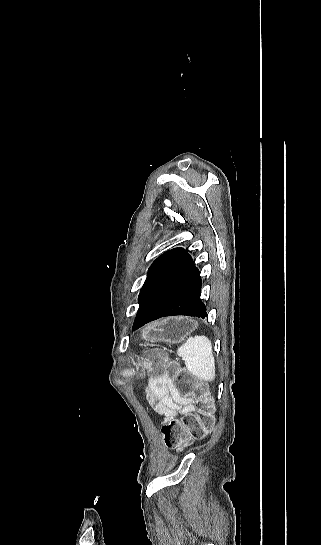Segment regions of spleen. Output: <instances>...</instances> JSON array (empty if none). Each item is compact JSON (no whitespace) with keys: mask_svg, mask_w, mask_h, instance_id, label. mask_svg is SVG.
Masks as SVG:
<instances>
[{"mask_svg":"<svg viewBox=\"0 0 321 545\" xmlns=\"http://www.w3.org/2000/svg\"><path fill=\"white\" fill-rule=\"evenodd\" d=\"M178 357L185 361L186 369L200 381H214L216 375L212 343L204 335L189 337L177 349Z\"/></svg>","mask_w":321,"mask_h":545,"instance_id":"obj_1","label":"spleen"}]
</instances>
